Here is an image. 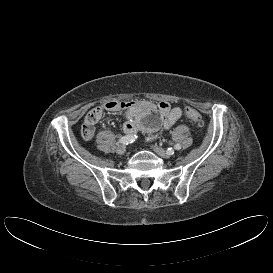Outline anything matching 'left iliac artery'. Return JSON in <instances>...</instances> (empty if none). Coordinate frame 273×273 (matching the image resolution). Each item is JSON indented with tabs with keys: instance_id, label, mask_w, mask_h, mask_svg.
Masks as SVG:
<instances>
[{
	"instance_id": "obj_1",
	"label": "left iliac artery",
	"mask_w": 273,
	"mask_h": 273,
	"mask_svg": "<svg viewBox=\"0 0 273 273\" xmlns=\"http://www.w3.org/2000/svg\"><path fill=\"white\" fill-rule=\"evenodd\" d=\"M174 149H175V150H180V149H181V145H180V144H176V145L174 146ZM167 152L170 153V154L172 155V154L174 153V150H173L172 148H168Z\"/></svg>"
}]
</instances>
